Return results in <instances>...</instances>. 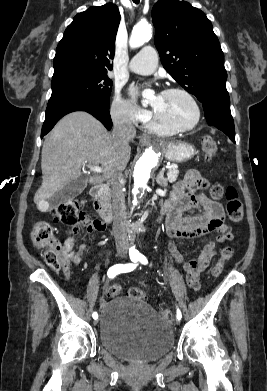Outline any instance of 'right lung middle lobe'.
Wrapping results in <instances>:
<instances>
[{
	"mask_svg": "<svg viewBox=\"0 0 267 391\" xmlns=\"http://www.w3.org/2000/svg\"><path fill=\"white\" fill-rule=\"evenodd\" d=\"M48 105L66 99H83L109 107L112 81L105 71H72L53 76Z\"/></svg>",
	"mask_w": 267,
	"mask_h": 391,
	"instance_id": "obj_1",
	"label": "right lung middle lobe"
}]
</instances>
